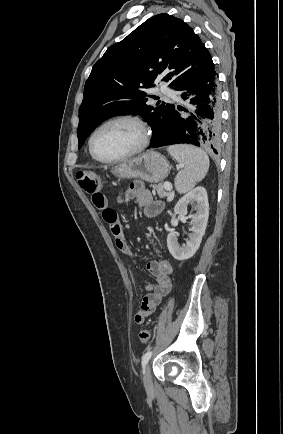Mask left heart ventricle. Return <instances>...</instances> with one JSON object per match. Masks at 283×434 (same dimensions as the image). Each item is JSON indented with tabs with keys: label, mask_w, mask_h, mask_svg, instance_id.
<instances>
[{
	"label": "left heart ventricle",
	"mask_w": 283,
	"mask_h": 434,
	"mask_svg": "<svg viewBox=\"0 0 283 434\" xmlns=\"http://www.w3.org/2000/svg\"><path fill=\"white\" fill-rule=\"evenodd\" d=\"M139 129L129 122H116L103 127L95 136L93 147L102 158L120 157L139 144Z\"/></svg>",
	"instance_id": "left-heart-ventricle-1"
}]
</instances>
